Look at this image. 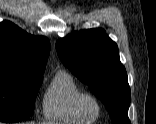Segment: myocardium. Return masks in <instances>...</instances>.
<instances>
[{
    "label": "myocardium",
    "mask_w": 156,
    "mask_h": 124,
    "mask_svg": "<svg viewBox=\"0 0 156 124\" xmlns=\"http://www.w3.org/2000/svg\"><path fill=\"white\" fill-rule=\"evenodd\" d=\"M91 101L97 107V113L95 115H90L87 110V103ZM77 108L79 112L88 118L99 117L102 112V102L101 100L94 94L89 92H82L77 98Z\"/></svg>",
    "instance_id": "f54148a6"
}]
</instances>
